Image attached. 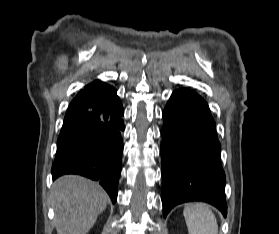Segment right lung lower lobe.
<instances>
[{"label":"right lung lower lobe","mask_w":279,"mask_h":234,"mask_svg":"<svg viewBox=\"0 0 279 234\" xmlns=\"http://www.w3.org/2000/svg\"><path fill=\"white\" fill-rule=\"evenodd\" d=\"M122 103L116 89L94 81L70 103L57 141L53 180L79 174L99 181L113 203L121 172L124 130Z\"/></svg>","instance_id":"1"}]
</instances>
